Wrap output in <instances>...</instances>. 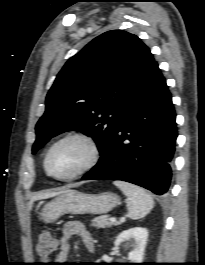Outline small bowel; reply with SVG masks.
Here are the masks:
<instances>
[{
    "instance_id": "small-bowel-1",
    "label": "small bowel",
    "mask_w": 205,
    "mask_h": 265,
    "mask_svg": "<svg viewBox=\"0 0 205 265\" xmlns=\"http://www.w3.org/2000/svg\"><path fill=\"white\" fill-rule=\"evenodd\" d=\"M75 236H80L85 248L89 252H93V238L84 225L78 221H68L63 226L62 237L59 240V252L55 258V264L61 265L67 260L71 249L70 240Z\"/></svg>"
}]
</instances>
